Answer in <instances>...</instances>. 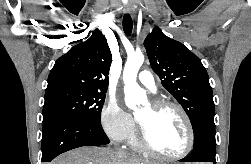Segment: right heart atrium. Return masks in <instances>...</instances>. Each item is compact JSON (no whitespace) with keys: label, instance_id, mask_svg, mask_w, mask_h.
Returning a JSON list of instances; mask_svg holds the SVG:
<instances>
[{"label":"right heart atrium","instance_id":"1","mask_svg":"<svg viewBox=\"0 0 251 164\" xmlns=\"http://www.w3.org/2000/svg\"><path fill=\"white\" fill-rule=\"evenodd\" d=\"M100 122L105 134L115 142H125L135 132L132 115L116 100H109L104 104Z\"/></svg>","mask_w":251,"mask_h":164}]
</instances>
